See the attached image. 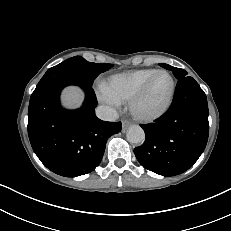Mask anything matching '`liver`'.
<instances>
[{
  "instance_id": "liver-1",
  "label": "liver",
  "mask_w": 231,
  "mask_h": 231,
  "mask_svg": "<svg viewBox=\"0 0 231 231\" xmlns=\"http://www.w3.org/2000/svg\"><path fill=\"white\" fill-rule=\"evenodd\" d=\"M63 104L68 108L79 107L83 101V94L76 87H69L64 90L62 95Z\"/></svg>"
}]
</instances>
